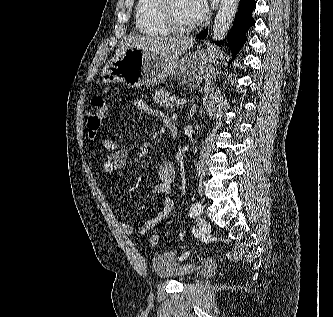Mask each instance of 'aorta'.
<instances>
[{
    "mask_svg": "<svg viewBox=\"0 0 333 317\" xmlns=\"http://www.w3.org/2000/svg\"><path fill=\"white\" fill-rule=\"evenodd\" d=\"M238 4L239 0H221L219 10L213 23V39L221 40L224 38L236 14ZM212 93L213 89L211 90V94Z\"/></svg>",
    "mask_w": 333,
    "mask_h": 317,
    "instance_id": "obj_1",
    "label": "aorta"
}]
</instances>
